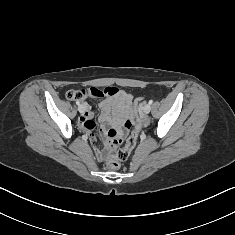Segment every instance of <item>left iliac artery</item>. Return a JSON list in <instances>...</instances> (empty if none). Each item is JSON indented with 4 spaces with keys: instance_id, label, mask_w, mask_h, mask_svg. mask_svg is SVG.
<instances>
[{
    "instance_id": "1",
    "label": "left iliac artery",
    "mask_w": 235,
    "mask_h": 235,
    "mask_svg": "<svg viewBox=\"0 0 235 235\" xmlns=\"http://www.w3.org/2000/svg\"><path fill=\"white\" fill-rule=\"evenodd\" d=\"M152 103H153V100H150V101H149V104L151 105Z\"/></svg>"
}]
</instances>
